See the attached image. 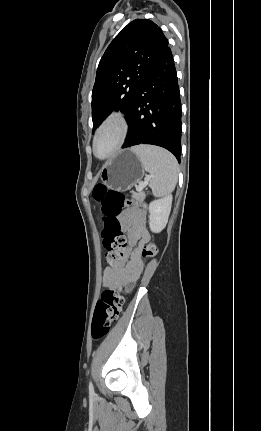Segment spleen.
<instances>
[{
	"instance_id": "1",
	"label": "spleen",
	"mask_w": 261,
	"mask_h": 431,
	"mask_svg": "<svg viewBox=\"0 0 261 431\" xmlns=\"http://www.w3.org/2000/svg\"><path fill=\"white\" fill-rule=\"evenodd\" d=\"M132 152L140 159L145 171L150 173V187L156 197L169 195L175 188L178 178L176 158L165 149L140 145Z\"/></svg>"
}]
</instances>
